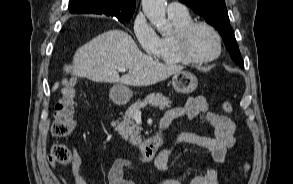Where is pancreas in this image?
<instances>
[{
    "instance_id": "1",
    "label": "pancreas",
    "mask_w": 293,
    "mask_h": 184,
    "mask_svg": "<svg viewBox=\"0 0 293 184\" xmlns=\"http://www.w3.org/2000/svg\"><path fill=\"white\" fill-rule=\"evenodd\" d=\"M146 106L159 107L164 110L171 106V101L160 93H151L143 101L132 104L126 110L123 121L117 122L116 131L123 139L134 144L141 142L140 127L134 122V114Z\"/></svg>"
}]
</instances>
